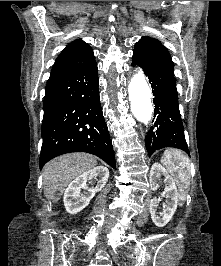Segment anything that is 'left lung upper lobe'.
<instances>
[{
	"mask_svg": "<svg viewBox=\"0 0 221 266\" xmlns=\"http://www.w3.org/2000/svg\"><path fill=\"white\" fill-rule=\"evenodd\" d=\"M132 59L144 70L174 75L171 56L157 39L142 37L135 45Z\"/></svg>",
	"mask_w": 221,
	"mask_h": 266,
	"instance_id": "5c2ea615",
	"label": "left lung upper lobe"
}]
</instances>
